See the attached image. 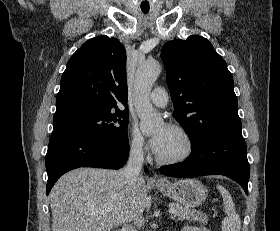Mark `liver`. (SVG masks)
I'll return each mask as SVG.
<instances>
[{
	"mask_svg": "<svg viewBox=\"0 0 280 231\" xmlns=\"http://www.w3.org/2000/svg\"><path fill=\"white\" fill-rule=\"evenodd\" d=\"M147 191L143 177L127 181L122 169H72L50 191L52 231H111L138 221L151 203ZM104 207L111 211L95 215Z\"/></svg>",
	"mask_w": 280,
	"mask_h": 231,
	"instance_id": "1",
	"label": "liver"
}]
</instances>
